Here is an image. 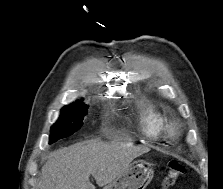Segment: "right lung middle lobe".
Returning <instances> with one entry per match:
<instances>
[{"label": "right lung middle lobe", "instance_id": "1", "mask_svg": "<svg viewBox=\"0 0 223 189\" xmlns=\"http://www.w3.org/2000/svg\"><path fill=\"white\" fill-rule=\"evenodd\" d=\"M88 106L81 100L65 106L61 110L58 121L52 126L49 143L52 144L58 139L68 137L79 130L83 125L84 116Z\"/></svg>", "mask_w": 223, "mask_h": 189}]
</instances>
